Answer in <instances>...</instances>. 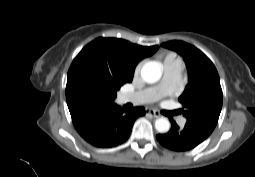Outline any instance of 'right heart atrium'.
I'll return each instance as SVG.
<instances>
[{
    "label": "right heart atrium",
    "mask_w": 255,
    "mask_h": 177,
    "mask_svg": "<svg viewBox=\"0 0 255 177\" xmlns=\"http://www.w3.org/2000/svg\"><path fill=\"white\" fill-rule=\"evenodd\" d=\"M142 65H143V62L141 61V62H139V63L135 66V68H134V74H135V75H138V74L140 73V70H141Z\"/></svg>",
    "instance_id": "right-heart-atrium-1"
}]
</instances>
